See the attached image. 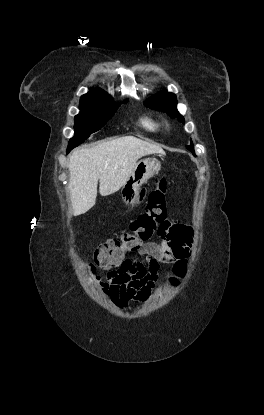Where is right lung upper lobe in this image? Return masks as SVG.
<instances>
[{
  "label": "right lung upper lobe",
  "instance_id": "cb5924a9",
  "mask_svg": "<svg viewBox=\"0 0 264 415\" xmlns=\"http://www.w3.org/2000/svg\"><path fill=\"white\" fill-rule=\"evenodd\" d=\"M93 98H109L108 94L103 91L102 89H96L89 91L88 93L84 94L81 99H93Z\"/></svg>",
  "mask_w": 264,
  "mask_h": 415
}]
</instances>
